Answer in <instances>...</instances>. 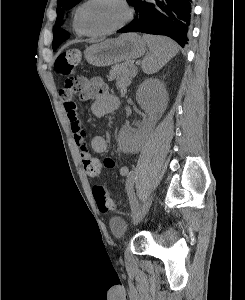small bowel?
<instances>
[{
	"label": "small bowel",
	"mask_w": 245,
	"mask_h": 300,
	"mask_svg": "<svg viewBox=\"0 0 245 300\" xmlns=\"http://www.w3.org/2000/svg\"><path fill=\"white\" fill-rule=\"evenodd\" d=\"M82 84L81 95L83 100H91V112L95 117L101 118L116 109L118 101L111 93L109 86L100 77L91 79H80ZM63 107L70 123L75 144L80 152L86 173L91 177H96L101 173L103 167L112 169L116 167L114 159L107 157L101 162L92 152L102 154L107 151L108 141L103 136H94L90 141V148L87 146L86 134L79 120L78 110L72 97L61 94ZM120 176L129 175V167L125 164L118 167ZM94 190H106L108 185L98 181L93 185Z\"/></svg>",
	"instance_id": "obj_1"
}]
</instances>
